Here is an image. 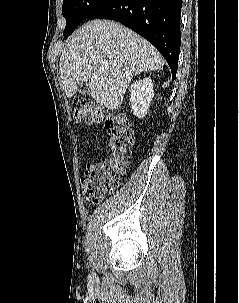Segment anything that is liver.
Masks as SVG:
<instances>
[{"mask_svg":"<svg viewBox=\"0 0 239 303\" xmlns=\"http://www.w3.org/2000/svg\"><path fill=\"white\" fill-rule=\"evenodd\" d=\"M163 66L160 53L144 38L114 21L94 20L66 42L59 72L68 97L87 82L91 97L114 110L122 104L135 75Z\"/></svg>","mask_w":239,"mask_h":303,"instance_id":"6515ba94","label":"liver"}]
</instances>
